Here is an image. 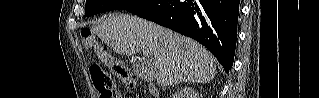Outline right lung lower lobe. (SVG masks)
Segmentation results:
<instances>
[{
	"mask_svg": "<svg viewBox=\"0 0 319 98\" xmlns=\"http://www.w3.org/2000/svg\"><path fill=\"white\" fill-rule=\"evenodd\" d=\"M239 3V0H150L129 12L195 39L229 72L235 54Z\"/></svg>",
	"mask_w": 319,
	"mask_h": 98,
	"instance_id": "98d812e1",
	"label": "right lung lower lobe"
}]
</instances>
